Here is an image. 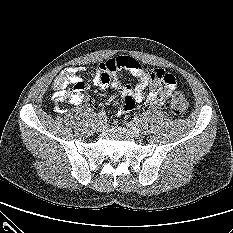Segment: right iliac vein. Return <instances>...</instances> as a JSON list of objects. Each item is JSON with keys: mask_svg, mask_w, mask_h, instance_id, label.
Returning a JSON list of instances; mask_svg holds the SVG:
<instances>
[{"mask_svg": "<svg viewBox=\"0 0 233 233\" xmlns=\"http://www.w3.org/2000/svg\"><path fill=\"white\" fill-rule=\"evenodd\" d=\"M106 128V122L104 120H98L96 123V130L98 132L104 131Z\"/></svg>", "mask_w": 233, "mask_h": 233, "instance_id": "1", "label": "right iliac vein"}]
</instances>
